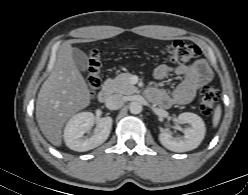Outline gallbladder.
Returning <instances> with one entry per match:
<instances>
[{
    "label": "gallbladder",
    "instance_id": "gallbladder-1",
    "mask_svg": "<svg viewBox=\"0 0 248 195\" xmlns=\"http://www.w3.org/2000/svg\"><path fill=\"white\" fill-rule=\"evenodd\" d=\"M73 60L80 71H86L88 68V57L86 53L78 48L72 50Z\"/></svg>",
    "mask_w": 248,
    "mask_h": 195
}]
</instances>
